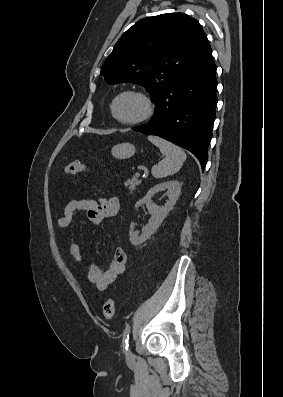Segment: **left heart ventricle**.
<instances>
[{
  "label": "left heart ventricle",
  "instance_id": "left-heart-ventricle-1",
  "mask_svg": "<svg viewBox=\"0 0 283 397\" xmlns=\"http://www.w3.org/2000/svg\"><path fill=\"white\" fill-rule=\"evenodd\" d=\"M115 111L123 120L136 119L143 114L144 103L135 95H124L117 101Z\"/></svg>",
  "mask_w": 283,
  "mask_h": 397
}]
</instances>
